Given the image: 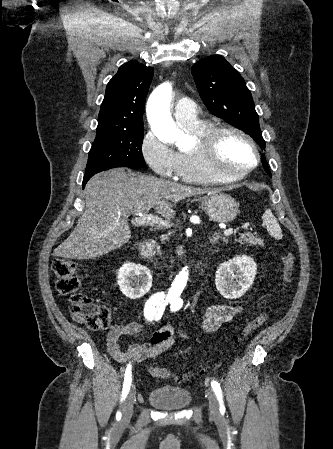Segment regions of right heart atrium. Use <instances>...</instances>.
Instances as JSON below:
<instances>
[{
  "instance_id": "d8ad5b80",
  "label": "right heart atrium",
  "mask_w": 333,
  "mask_h": 449,
  "mask_svg": "<svg viewBox=\"0 0 333 449\" xmlns=\"http://www.w3.org/2000/svg\"><path fill=\"white\" fill-rule=\"evenodd\" d=\"M140 149L144 160L157 175L177 177L178 155L169 144L148 131L142 139Z\"/></svg>"
}]
</instances>
